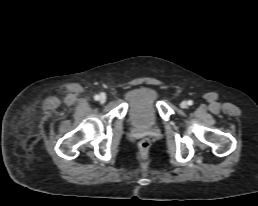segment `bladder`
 <instances>
[{"instance_id": "1", "label": "bladder", "mask_w": 258, "mask_h": 206, "mask_svg": "<svg viewBox=\"0 0 258 206\" xmlns=\"http://www.w3.org/2000/svg\"><path fill=\"white\" fill-rule=\"evenodd\" d=\"M157 91L149 86H139L127 95L128 118L132 125L150 127L157 121Z\"/></svg>"}]
</instances>
